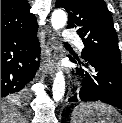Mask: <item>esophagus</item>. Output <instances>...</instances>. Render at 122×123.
<instances>
[{"label": "esophagus", "mask_w": 122, "mask_h": 123, "mask_svg": "<svg viewBox=\"0 0 122 123\" xmlns=\"http://www.w3.org/2000/svg\"><path fill=\"white\" fill-rule=\"evenodd\" d=\"M56 55H57L56 37L54 33L51 30H49L45 47V56L42 62V69L51 77H53L55 73V64L57 59Z\"/></svg>", "instance_id": "1"}]
</instances>
